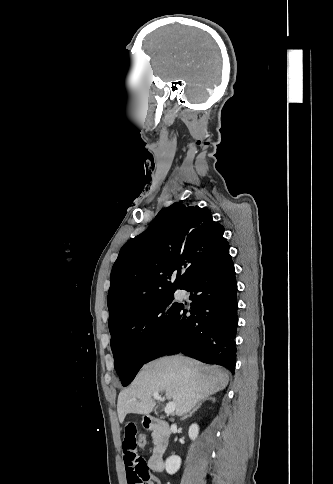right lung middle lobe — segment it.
<instances>
[{"mask_svg":"<svg viewBox=\"0 0 333 484\" xmlns=\"http://www.w3.org/2000/svg\"><path fill=\"white\" fill-rule=\"evenodd\" d=\"M173 293L133 309L109 326L114 367L123 386L134 379L158 339L167 331L180 304Z\"/></svg>","mask_w":333,"mask_h":484,"instance_id":"right-lung-middle-lobe-1","label":"right lung middle lobe"}]
</instances>
